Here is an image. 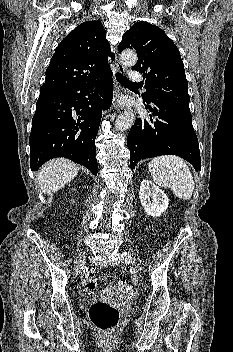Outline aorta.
Returning <instances> with one entry per match:
<instances>
[{"instance_id":"obj_1","label":"aorta","mask_w":233,"mask_h":352,"mask_svg":"<svg viewBox=\"0 0 233 352\" xmlns=\"http://www.w3.org/2000/svg\"><path fill=\"white\" fill-rule=\"evenodd\" d=\"M120 58L125 65H134L137 62V54L132 50L122 52ZM134 121L135 116L133 113H124L117 118L115 122V128L121 131L126 130L134 124Z\"/></svg>"}]
</instances>
